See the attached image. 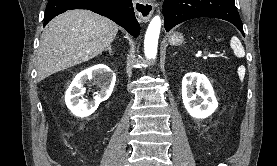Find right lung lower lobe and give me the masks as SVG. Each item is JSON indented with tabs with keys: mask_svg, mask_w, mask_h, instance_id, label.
<instances>
[{
	"mask_svg": "<svg viewBox=\"0 0 277 166\" xmlns=\"http://www.w3.org/2000/svg\"><path fill=\"white\" fill-rule=\"evenodd\" d=\"M88 9L105 16L137 37L140 26L131 0H49L44 17L46 25L55 16L72 9Z\"/></svg>",
	"mask_w": 277,
	"mask_h": 166,
	"instance_id": "1",
	"label": "right lung lower lobe"
}]
</instances>
